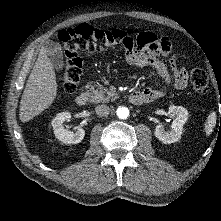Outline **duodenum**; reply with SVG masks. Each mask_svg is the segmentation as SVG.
Returning <instances> with one entry per match:
<instances>
[{"label":"duodenum","instance_id":"obj_1","mask_svg":"<svg viewBox=\"0 0 221 221\" xmlns=\"http://www.w3.org/2000/svg\"><path fill=\"white\" fill-rule=\"evenodd\" d=\"M131 103L135 104V105H140L146 102L145 97L138 91H135L133 93L130 94L129 97ZM76 104L79 106H84L87 101H88V95L85 92H80L77 96H76Z\"/></svg>","mask_w":221,"mask_h":221}]
</instances>
